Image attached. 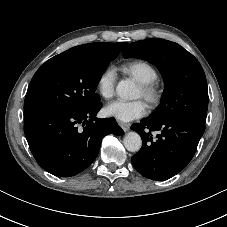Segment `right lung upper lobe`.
<instances>
[{"label":"right lung upper lobe","instance_id":"right-lung-upper-lobe-1","mask_svg":"<svg viewBox=\"0 0 227 227\" xmlns=\"http://www.w3.org/2000/svg\"><path fill=\"white\" fill-rule=\"evenodd\" d=\"M108 43H101V42H95V43H89V44H84V45H79L76 47L71 48V50L87 53V54H97L102 52L107 48ZM120 47V50L122 51L126 45L128 44L127 42H120L117 43Z\"/></svg>","mask_w":227,"mask_h":227}]
</instances>
